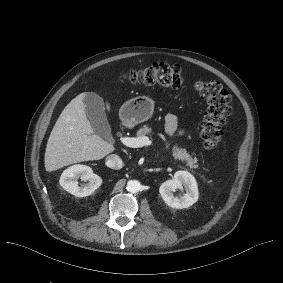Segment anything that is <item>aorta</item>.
<instances>
[{
    "mask_svg": "<svg viewBox=\"0 0 283 283\" xmlns=\"http://www.w3.org/2000/svg\"><path fill=\"white\" fill-rule=\"evenodd\" d=\"M126 188L130 193H136L141 189V184L137 180H130L128 181Z\"/></svg>",
    "mask_w": 283,
    "mask_h": 283,
    "instance_id": "762f6f07",
    "label": "aorta"
}]
</instances>
